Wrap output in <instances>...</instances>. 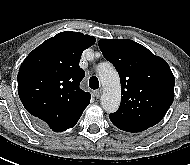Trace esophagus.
I'll list each match as a JSON object with an SVG mask.
<instances>
[{
    "label": "esophagus",
    "instance_id": "34e87169",
    "mask_svg": "<svg viewBox=\"0 0 190 165\" xmlns=\"http://www.w3.org/2000/svg\"><path fill=\"white\" fill-rule=\"evenodd\" d=\"M101 93H102L101 89H98V90L94 91V95H95L96 98H99L101 96Z\"/></svg>",
    "mask_w": 190,
    "mask_h": 165
}]
</instances>
